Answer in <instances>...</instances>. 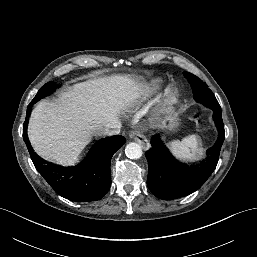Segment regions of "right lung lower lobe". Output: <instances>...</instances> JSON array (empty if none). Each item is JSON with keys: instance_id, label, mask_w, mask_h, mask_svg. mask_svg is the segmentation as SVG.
Listing matches in <instances>:
<instances>
[{"instance_id": "1", "label": "right lung lower lobe", "mask_w": 257, "mask_h": 257, "mask_svg": "<svg viewBox=\"0 0 257 257\" xmlns=\"http://www.w3.org/2000/svg\"><path fill=\"white\" fill-rule=\"evenodd\" d=\"M32 104L27 108V116ZM26 121L23 125L25 136ZM125 143L117 135L96 141L74 166L63 167L45 161L30 150V156L37 171L60 196L76 201H96L104 197L111 186L110 162L113 154Z\"/></svg>"}]
</instances>
